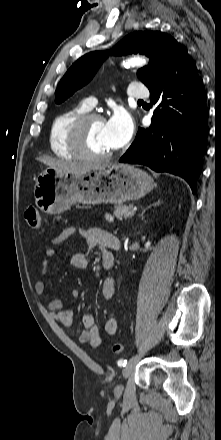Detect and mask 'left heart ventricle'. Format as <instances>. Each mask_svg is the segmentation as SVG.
Masks as SVG:
<instances>
[{
  "mask_svg": "<svg viewBox=\"0 0 221 440\" xmlns=\"http://www.w3.org/2000/svg\"><path fill=\"white\" fill-rule=\"evenodd\" d=\"M105 121H92L87 128L86 142L88 148L96 154H103L112 150L105 131Z\"/></svg>",
  "mask_w": 221,
  "mask_h": 440,
  "instance_id": "left-heart-ventricle-1",
  "label": "left heart ventricle"
}]
</instances>
